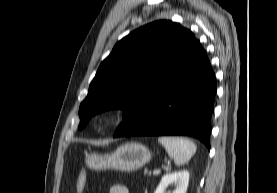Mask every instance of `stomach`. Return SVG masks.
Returning a JSON list of instances; mask_svg holds the SVG:
<instances>
[{
	"instance_id": "stomach-1",
	"label": "stomach",
	"mask_w": 277,
	"mask_h": 193,
	"mask_svg": "<svg viewBox=\"0 0 277 193\" xmlns=\"http://www.w3.org/2000/svg\"><path fill=\"white\" fill-rule=\"evenodd\" d=\"M150 150L138 142H128L110 154H86V164L93 170H117L132 172L138 170L151 159Z\"/></svg>"
}]
</instances>
